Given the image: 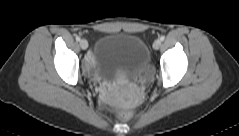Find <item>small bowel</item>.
Instances as JSON below:
<instances>
[{
	"mask_svg": "<svg viewBox=\"0 0 239 136\" xmlns=\"http://www.w3.org/2000/svg\"><path fill=\"white\" fill-rule=\"evenodd\" d=\"M92 62H93V59H92V58H89V59H88V64L91 65Z\"/></svg>",
	"mask_w": 239,
	"mask_h": 136,
	"instance_id": "small-bowel-1",
	"label": "small bowel"
}]
</instances>
